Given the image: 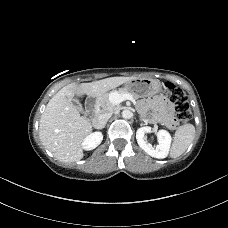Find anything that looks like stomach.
Listing matches in <instances>:
<instances>
[{"instance_id": "stomach-1", "label": "stomach", "mask_w": 228, "mask_h": 228, "mask_svg": "<svg viewBox=\"0 0 228 228\" xmlns=\"http://www.w3.org/2000/svg\"><path fill=\"white\" fill-rule=\"evenodd\" d=\"M125 88L137 97H149L162 91L158 80L151 78H135L125 83Z\"/></svg>"}]
</instances>
